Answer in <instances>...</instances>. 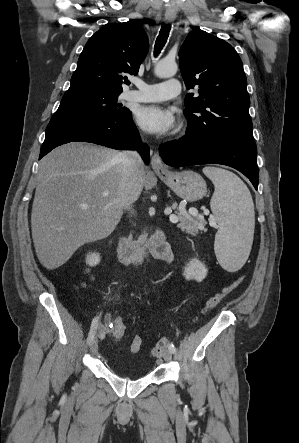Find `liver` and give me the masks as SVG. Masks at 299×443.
<instances>
[{
  "label": "liver",
  "instance_id": "liver-1",
  "mask_svg": "<svg viewBox=\"0 0 299 443\" xmlns=\"http://www.w3.org/2000/svg\"><path fill=\"white\" fill-rule=\"evenodd\" d=\"M120 152L71 142L52 150L39 164L31 229L40 263L52 270L83 244L110 235L123 210ZM144 167L136 172L131 203L141 194ZM87 204L88 208H81Z\"/></svg>",
  "mask_w": 299,
  "mask_h": 443
}]
</instances>
